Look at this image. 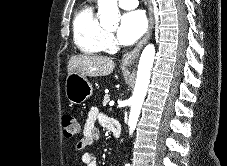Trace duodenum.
<instances>
[{"mask_svg": "<svg viewBox=\"0 0 227 166\" xmlns=\"http://www.w3.org/2000/svg\"><path fill=\"white\" fill-rule=\"evenodd\" d=\"M109 129L113 135L118 138L121 135V125L120 122L115 118H110L109 120Z\"/></svg>", "mask_w": 227, "mask_h": 166, "instance_id": "410a0bca", "label": "duodenum"}]
</instances>
